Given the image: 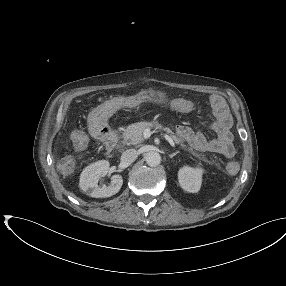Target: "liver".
<instances>
[{"label":"liver","mask_w":286,"mask_h":286,"mask_svg":"<svg viewBox=\"0 0 286 286\" xmlns=\"http://www.w3.org/2000/svg\"><path fill=\"white\" fill-rule=\"evenodd\" d=\"M96 132H95V130H90V134L92 135V136H95L96 134H95Z\"/></svg>","instance_id":"liver-1"}]
</instances>
